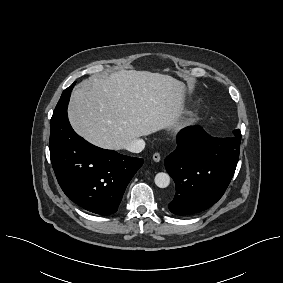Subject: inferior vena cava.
<instances>
[{
	"label": "inferior vena cava",
	"instance_id": "inferior-vena-cava-1",
	"mask_svg": "<svg viewBox=\"0 0 283 283\" xmlns=\"http://www.w3.org/2000/svg\"><path fill=\"white\" fill-rule=\"evenodd\" d=\"M144 147L145 141L143 139H135L127 144L125 149L133 153H139L144 149Z\"/></svg>",
	"mask_w": 283,
	"mask_h": 283
}]
</instances>
